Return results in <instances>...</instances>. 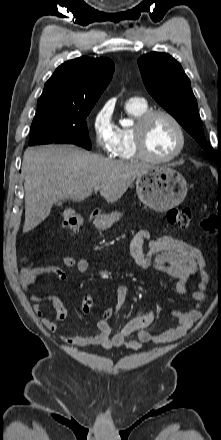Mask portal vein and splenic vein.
I'll use <instances>...</instances> for the list:
<instances>
[{"label": "portal vein and splenic vein", "mask_w": 221, "mask_h": 440, "mask_svg": "<svg viewBox=\"0 0 221 440\" xmlns=\"http://www.w3.org/2000/svg\"><path fill=\"white\" fill-rule=\"evenodd\" d=\"M98 190H100V186H95L94 191L97 192Z\"/></svg>", "instance_id": "18ae733b"}]
</instances>
